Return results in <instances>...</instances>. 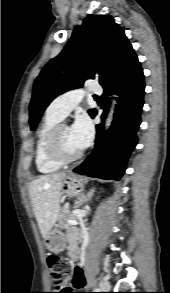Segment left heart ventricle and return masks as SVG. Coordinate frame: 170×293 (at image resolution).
<instances>
[{
	"instance_id": "b2bd125f",
	"label": "left heart ventricle",
	"mask_w": 170,
	"mask_h": 293,
	"mask_svg": "<svg viewBox=\"0 0 170 293\" xmlns=\"http://www.w3.org/2000/svg\"><path fill=\"white\" fill-rule=\"evenodd\" d=\"M59 142H60L61 152L65 156H72L78 151H80V149L74 143L70 134V129L67 126H62V128L60 129Z\"/></svg>"
}]
</instances>
